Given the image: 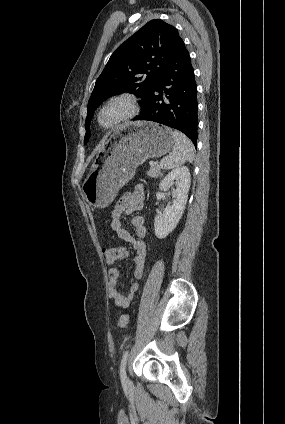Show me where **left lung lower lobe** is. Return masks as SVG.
I'll return each instance as SVG.
<instances>
[{
  "mask_svg": "<svg viewBox=\"0 0 285 424\" xmlns=\"http://www.w3.org/2000/svg\"><path fill=\"white\" fill-rule=\"evenodd\" d=\"M141 110L133 120L153 121L177 129L197 145V85L190 55L182 39L160 79L141 104Z\"/></svg>",
  "mask_w": 285,
  "mask_h": 424,
  "instance_id": "1",
  "label": "left lung lower lobe"
}]
</instances>
